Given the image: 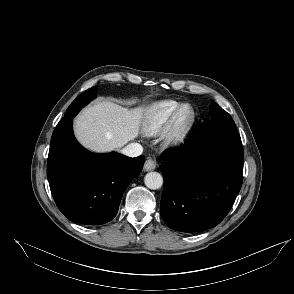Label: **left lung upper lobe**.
Masks as SVG:
<instances>
[{
  "instance_id": "left-lung-upper-lobe-1",
  "label": "left lung upper lobe",
  "mask_w": 294,
  "mask_h": 294,
  "mask_svg": "<svg viewBox=\"0 0 294 294\" xmlns=\"http://www.w3.org/2000/svg\"><path fill=\"white\" fill-rule=\"evenodd\" d=\"M209 113L212 119H232V117L217 103H212L210 105Z\"/></svg>"
}]
</instances>
